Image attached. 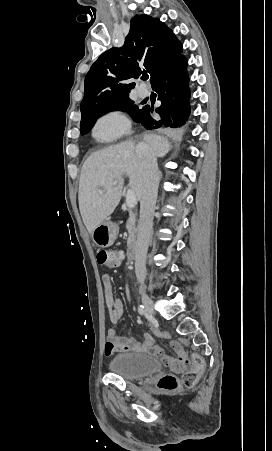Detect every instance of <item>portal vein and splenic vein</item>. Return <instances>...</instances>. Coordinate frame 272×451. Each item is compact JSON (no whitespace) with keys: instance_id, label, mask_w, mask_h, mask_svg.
Instances as JSON below:
<instances>
[{"instance_id":"portal-vein-and-splenic-vein-1","label":"portal vein and splenic vein","mask_w":272,"mask_h":451,"mask_svg":"<svg viewBox=\"0 0 272 451\" xmlns=\"http://www.w3.org/2000/svg\"><path fill=\"white\" fill-rule=\"evenodd\" d=\"M115 186H116V182H114ZM99 194H103L104 190H98ZM126 204H127V208H135V206H137V200H136V196L134 194V192H132V190H128L127 192V196H126Z\"/></svg>"}]
</instances>
